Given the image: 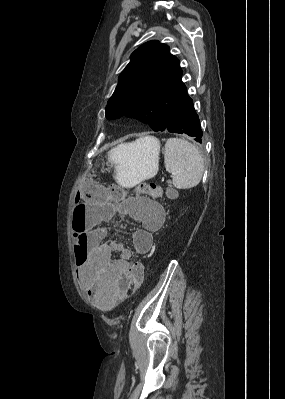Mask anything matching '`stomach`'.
<instances>
[{
    "label": "stomach",
    "instance_id": "stomach-1",
    "mask_svg": "<svg viewBox=\"0 0 285 399\" xmlns=\"http://www.w3.org/2000/svg\"><path fill=\"white\" fill-rule=\"evenodd\" d=\"M160 143L156 138L144 137L112 149L108 156L114 166L115 179L124 187L154 177L159 167Z\"/></svg>",
    "mask_w": 285,
    "mask_h": 399
}]
</instances>
